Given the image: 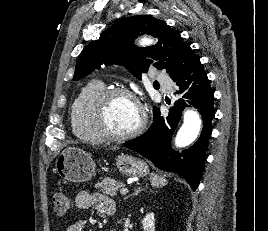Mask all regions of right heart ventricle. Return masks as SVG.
I'll list each match as a JSON object with an SVG mask.
<instances>
[{
  "label": "right heart ventricle",
  "instance_id": "1",
  "mask_svg": "<svg viewBox=\"0 0 268 231\" xmlns=\"http://www.w3.org/2000/svg\"><path fill=\"white\" fill-rule=\"evenodd\" d=\"M104 88L102 81L90 80L81 88L70 105L69 114L72 131L82 140L93 143H101L104 140L97 135L90 118L91 103L94 97Z\"/></svg>",
  "mask_w": 268,
  "mask_h": 231
}]
</instances>
